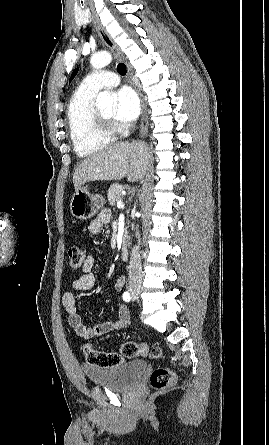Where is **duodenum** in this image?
Returning a JSON list of instances; mask_svg holds the SVG:
<instances>
[{
    "label": "duodenum",
    "mask_w": 269,
    "mask_h": 445,
    "mask_svg": "<svg viewBox=\"0 0 269 445\" xmlns=\"http://www.w3.org/2000/svg\"><path fill=\"white\" fill-rule=\"evenodd\" d=\"M120 256L122 259L128 258V244L126 241H124L121 245Z\"/></svg>",
    "instance_id": "1"
}]
</instances>
